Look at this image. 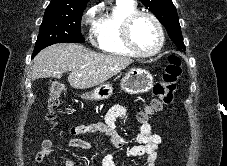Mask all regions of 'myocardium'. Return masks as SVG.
<instances>
[{"mask_svg":"<svg viewBox=\"0 0 227 166\" xmlns=\"http://www.w3.org/2000/svg\"><path fill=\"white\" fill-rule=\"evenodd\" d=\"M140 17H147L152 20L154 23L157 32H158V43L156 47L151 50V51H143L140 48L137 47L133 40V35H132V29L135 24V22L140 18ZM121 35H122V40L125 44V46L136 56L139 57H152L160 53L164 46V31L163 27L161 25V22L159 19L152 13L146 12V11H136L129 16L126 17L122 24V30H121Z\"/></svg>","mask_w":227,"mask_h":166,"instance_id":"f54148a6","label":"myocardium"}]
</instances>
